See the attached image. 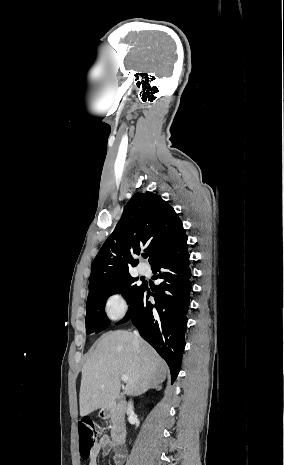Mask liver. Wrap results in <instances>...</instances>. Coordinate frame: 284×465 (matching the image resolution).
<instances>
[{
    "mask_svg": "<svg viewBox=\"0 0 284 465\" xmlns=\"http://www.w3.org/2000/svg\"><path fill=\"white\" fill-rule=\"evenodd\" d=\"M168 367L156 351L128 331H109L83 365L80 417L109 407L118 399L122 375H127L124 395H142L166 379Z\"/></svg>",
    "mask_w": 284,
    "mask_h": 465,
    "instance_id": "obj_1",
    "label": "liver"
}]
</instances>
